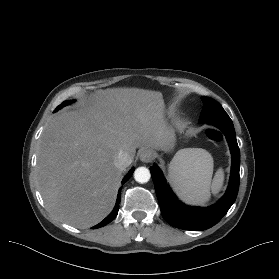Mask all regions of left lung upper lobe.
Masks as SVG:
<instances>
[{
	"label": "left lung upper lobe",
	"instance_id": "obj_1",
	"mask_svg": "<svg viewBox=\"0 0 279 279\" xmlns=\"http://www.w3.org/2000/svg\"><path fill=\"white\" fill-rule=\"evenodd\" d=\"M204 102L203 109L200 114L199 123L211 122L216 120H231L222 106L214 99L202 97Z\"/></svg>",
	"mask_w": 279,
	"mask_h": 279
}]
</instances>
